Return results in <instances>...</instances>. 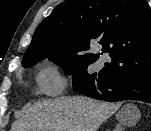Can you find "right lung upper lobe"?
I'll return each instance as SVG.
<instances>
[{"label": "right lung upper lobe", "mask_w": 151, "mask_h": 131, "mask_svg": "<svg viewBox=\"0 0 151 131\" xmlns=\"http://www.w3.org/2000/svg\"><path fill=\"white\" fill-rule=\"evenodd\" d=\"M35 45H68L93 60L109 53L105 77L151 74V10L146 0H66L37 27ZM93 46L102 53H86Z\"/></svg>", "instance_id": "obj_1"}]
</instances>
